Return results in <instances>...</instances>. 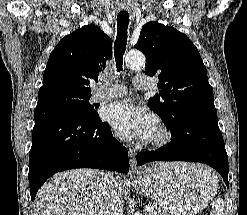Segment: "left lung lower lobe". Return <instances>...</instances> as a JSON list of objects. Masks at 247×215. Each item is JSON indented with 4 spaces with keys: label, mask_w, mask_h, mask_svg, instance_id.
<instances>
[{
    "label": "left lung lower lobe",
    "mask_w": 247,
    "mask_h": 215,
    "mask_svg": "<svg viewBox=\"0 0 247 215\" xmlns=\"http://www.w3.org/2000/svg\"><path fill=\"white\" fill-rule=\"evenodd\" d=\"M170 131V143L155 151L138 153V165L152 161L205 163L221 174L228 188V156L217 119L195 118Z\"/></svg>",
    "instance_id": "0a47b994"
}]
</instances>
